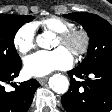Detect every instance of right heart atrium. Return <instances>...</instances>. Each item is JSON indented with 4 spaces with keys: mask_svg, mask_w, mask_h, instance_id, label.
<instances>
[{
    "mask_svg": "<svg viewBox=\"0 0 112 112\" xmlns=\"http://www.w3.org/2000/svg\"><path fill=\"white\" fill-rule=\"evenodd\" d=\"M13 44L22 55L29 53L35 47V27L31 23L22 25L14 34Z\"/></svg>",
    "mask_w": 112,
    "mask_h": 112,
    "instance_id": "right-heart-atrium-1",
    "label": "right heart atrium"
}]
</instances>
